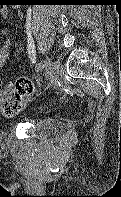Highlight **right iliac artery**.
<instances>
[{
  "label": "right iliac artery",
  "instance_id": "1",
  "mask_svg": "<svg viewBox=\"0 0 121 197\" xmlns=\"http://www.w3.org/2000/svg\"><path fill=\"white\" fill-rule=\"evenodd\" d=\"M44 68L43 62H40L36 65V72H41Z\"/></svg>",
  "mask_w": 121,
  "mask_h": 197
}]
</instances>
